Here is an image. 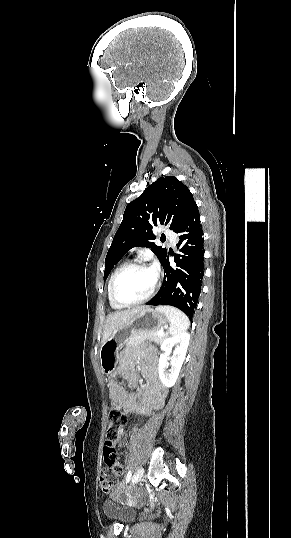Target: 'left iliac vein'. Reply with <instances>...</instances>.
Instances as JSON below:
<instances>
[{"mask_svg": "<svg viewBox=\"0 0 291 538\" xmlns=\"http://www.w3.org/2000/svg\"><path fill=\"white\" fill-rule=\"evenodd\" d=\"M143 475H144V469L143 467H139L134 474L133 484L138 483L142 479Z\"/></svg>", "mask_w": 291, "mask_h": 538, "instance_id": "left-iliac-vein-1", "label": "left iliac vein"}]
</instances>
